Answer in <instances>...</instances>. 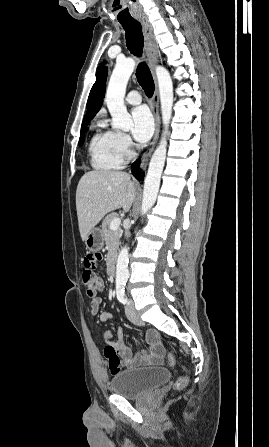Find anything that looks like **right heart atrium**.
Here are the masks:
<instances>
[{
	"label": "right heart atrium",
	"mask_w": 269,
	"mask_h": 447,
	"mask_svg": "<svg viewBox=\"0 0 269 447\" xmlns=\"http://www.w3.org/2000/svg\"><path fill=\"white\" fill-rule=\"evenodd\" d=\"M118 147L124 158H129L133 155L135 145L130 136L126 133L117 132Z\"/></svg>",
	"instance_id": "right-heart-atrium-1"
}]
</instances>
